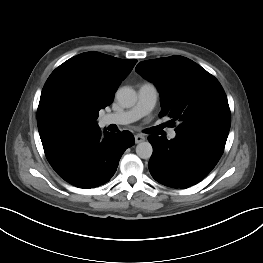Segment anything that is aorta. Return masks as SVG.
Instances as JSON below:
<instances>
[{
    "label": "aorta",
    "mask_w": 263,
    "mask_h": 263,
    "mask_svg": "<svg viewBox=\"0 0 263 263\" xmlns=\"http://www.w3.org/2000/svg\"><path fill=\"white\" fill-rule=\"evenodd\" d=\"M116 98L122 107L130 108L137 101V94L130 87H122L117 90ZM153 153L152 145L149 142H140L136 146V154L142 159H149Z\"/></svg>",
    "instance_id": "obj_1"
}]
</instances>
